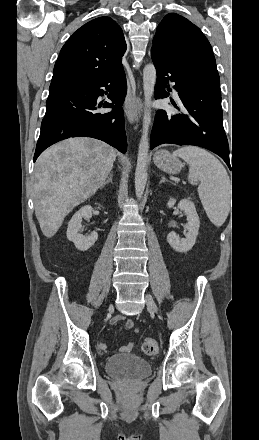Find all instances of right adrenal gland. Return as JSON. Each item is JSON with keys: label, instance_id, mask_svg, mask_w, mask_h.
<instances>
[{"label": "right adrenal gland", "instance_id": "obj_1", "mask_svg": "<svg viewBox=\"0 0 259 440\" xmlns=\"http://www.w3.org/2000/svg\"><path fill=\"white\" fill-rule=\"evenodd\" d=\"M108 183H113V173L111 172L110 175L107 177L106 181L103 183V186L108 184Z\"/></svg>", "mask_w": 259, "mask_h": 440}]
</instances>
